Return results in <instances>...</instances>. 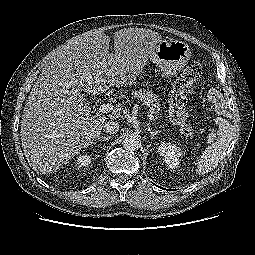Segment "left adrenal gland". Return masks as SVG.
I'll use <instances>...</instances> for the list:
<instances>
[{
  "instance_id": "obj_1",
  "label": "left adrenal gland",
  "mask_w": 255,
  "mask_h": 255,
  "mask_svg": "<svg viewBox=\"0 0 255 255\" xmlns=\"http://www.w3.org/2000/svg\"><path fill=\"white\" fill-rule=\"evenodd\" d=\"M147 129H148V131H149L150 134H151V139H153L155 135H157V134H159V133L161 132L160 130H154V131H153V130H151L150 127H148Z\"/></svg>"
}]
</instances>
